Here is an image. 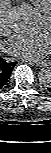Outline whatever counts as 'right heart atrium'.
Segmentation results:
<instances>
[{
    "mask_svg": "<svg viewBox=\"0 0 51 153\" xmlns=\"http://www.w3.org/2000/svg\"><path fill=\"white\" fill-rule=\"evenodd\" d=\"M10 31V7L7 3L0 6V32L7 34Z\"/></svg>",
    "mask_w": 51,
    "mask_h": 153,
    "instance_id": "1",
    "label": "right heart atrium"
}]
</instances>
